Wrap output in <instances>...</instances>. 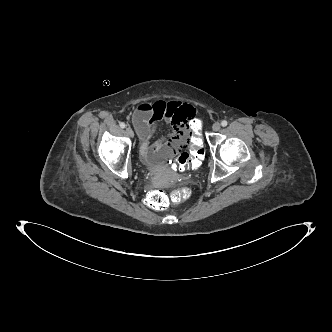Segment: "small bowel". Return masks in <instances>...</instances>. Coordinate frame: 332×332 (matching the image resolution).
<instances>
[{
	"mask_svg": "<svg viewBox=\"0 0 332 332\" xmlns=\"http://www.w3.org/2000/svg\"><path fill=\"white\" fill-rule=\"evenodd\" d=\"M193 117H197L195 107L179 100L140 103L132 121L141 139L140 152L145 161L164 166L170 157L179 155L190 137L189 121ZM162 121L172 127V132L167 138L150 143L153 132Z\"/></svg>",
	"mask_w": 332,
	"mask_h": 332,
	"instance_id": "1",
	"label": "small bowel"
}]
</instances>
